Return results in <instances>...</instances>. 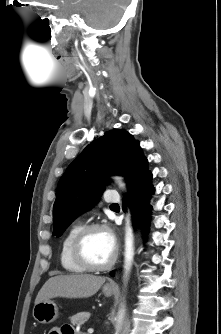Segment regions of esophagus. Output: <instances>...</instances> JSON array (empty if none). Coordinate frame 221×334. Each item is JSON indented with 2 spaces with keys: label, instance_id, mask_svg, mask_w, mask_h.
<instances>
[{
  "label": "esophagus",
  "instance_id": "34e87169",
  "mask_svg": "<svg viewBox=\"0 0 221 334\" xmlns=\"http://www.w3.org/2000/svg\"><path fill=\"white\" fill-rule=\"evenodd\" d=\"M109 286H113V287H114L115 284H114L113 282H110V283H109Z\"/></svg>",
  "mask_w": 221,
  "mask_h": 334
}]
</instances>
